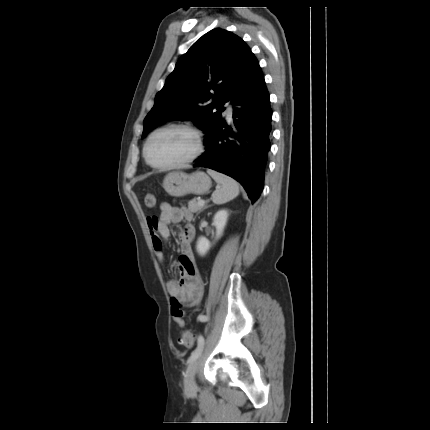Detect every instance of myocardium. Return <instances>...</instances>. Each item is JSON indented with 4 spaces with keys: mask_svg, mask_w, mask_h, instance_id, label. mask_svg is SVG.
Segmentation results:
<instances>
[{
    "mask_svg": "<svg viewBox=\"0 0 430 430\" xmlns=\"http://www.w3.org/2000/svg\"><path fill=\"white\" fill-rule=\"evenodd\" d=\"M170 129H182V130H186L188 132H190L191 134L194 135L195 137V141H196V145H195V150L194 152L187 157L186 159L177 162V163H173V164H168V165H159L156 164L154 162H152V160L149 157V146L152 142V140L159 135L160 133L170 130ZM204 148H205V142H204V137H203V133L201 132L200 129H198L197 127L188 124V123H171L168 124L164 127H161L159 129H157L155 132H153L148 139L145 142L144 145V157L146 162L153 168L155 169H159V170H172V169H177V168H181L184 166H187L188 164L196 161L204 152Z\"/></svg>",
    "mask_w": 430,
    "mask_h": 430,
    "instance_id": "obj_1",
    "label": "myocardium"
}]
</instances>
